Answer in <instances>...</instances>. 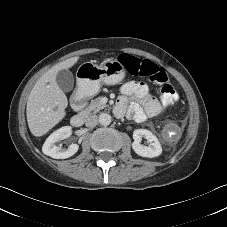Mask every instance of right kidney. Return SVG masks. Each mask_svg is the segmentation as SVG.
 Masks as SVG:
<instances>
[{"label":"right kidney","instance_id":"1","mask_svg":"<svg viewBox=\"0 0 227 227\" xmlns=\"http://www.w3.org/2000/svg\"><path fill=\"white\" fill-rule=\"evenodd\" d=\"M71 134L72 128L70 126H64L56 130L46 139L42 152L55 159H65L73 156L79 149L77 144H71L67 149L55 145L56 142L68 138Z\"/></svg>","mask_w":227,"mask_h":227}]
</instances>
